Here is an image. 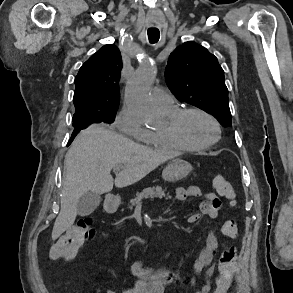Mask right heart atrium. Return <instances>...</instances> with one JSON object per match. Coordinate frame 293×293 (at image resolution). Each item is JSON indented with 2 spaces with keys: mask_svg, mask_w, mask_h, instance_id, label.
<instances>
[{
  "mask_svg": "<svg viewBox=\"0 0 293 293\" xmlns=\"http://www.w3.org/2000/svg\"><path fill=\"white\" fill-rule=\"evenodd\" d=\"M114 125L122 133L140 141H145L150 134V131L143 127L126 107L118 113Z\"/></svg>",
  "mask_w": 293,
  "mask_h": 293,
  "instance_id": "1",
  "label": "right heart atrium"
}]
</instances>
